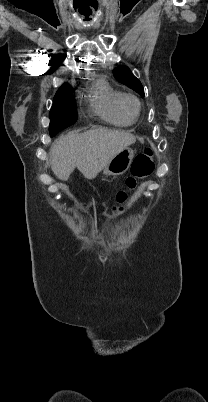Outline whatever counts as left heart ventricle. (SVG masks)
I'll list each match as a JSON object with an SVG mask.
<instances>
[{"label": "left heart ventricle", "instance_id": "obj_1", "mask_svg": "<svg viewBox=\"0 0 208 402\" xmlns=\"http://www.w3.org/2000/svg\"><path fill=\"white\" fill-rule=\"evenodd\" d=\"M125 106L131 113H135L136 104L134 103V101H132L131 99L125 100Z\"/></svg>", "mask_w": 208, "mask_h": 402}]
</instances>
